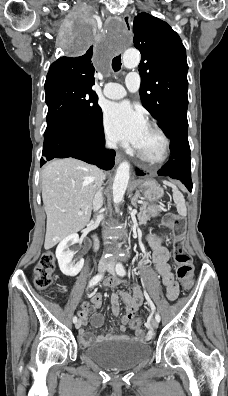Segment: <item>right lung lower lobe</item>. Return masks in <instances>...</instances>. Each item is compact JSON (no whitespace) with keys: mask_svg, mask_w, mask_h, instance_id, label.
Here are the masks:
<instances>
[{"mask_svg":"<svg viewBox=\"0 0 228 396\" xmlns=\"http://www.w3.org/2000/svg\"><path fill=\"white\" fill-rule=\"evenodd\" d=\"M104 143L102 114L94 128L56 124L46 128L40 164L42 166L53 158L72 157L110 170L114 166L115 152L104 150Z\"/></svg>","mask_w":228,"mask_h":396,"instance_id":"1","label":"right lung lower lobe"}]
</instances>
